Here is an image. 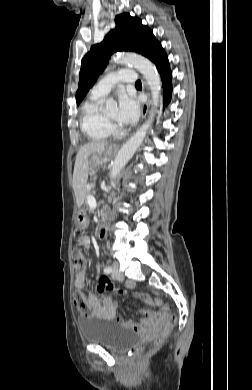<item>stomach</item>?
<instances>
[{
	"mask_svg": "<svg viewBox=\"0 0 252 390\" xmlns=\"http://www.w3.org/2000/svg\"><path fill=\"white\" fill-rule=\"evenodd\" d=\"M103 153H104L105 157H110L113 153V148L107 147L102 152L94 153L91 157V160H90L93 167H98L103 163V157H102ZM87 225H88L87 215H86L85 211L80 210L76 216V227L78 229H84Z\"/></svg>",
	"mask_w": 252,
	"mask_h": 390,
	"instance_id": "1",
	"label": "stomach"
}]
</instances>
